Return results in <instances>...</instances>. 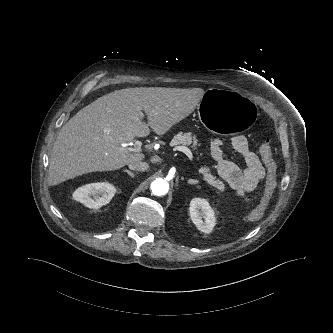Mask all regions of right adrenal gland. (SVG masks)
Masks as SVG:
<instances>
[{
    "label": "right adrenal gland",
    "mask_w": 333,
    "mask_h": 333,
    "mask_svg": "<svg viewBox=\"0 0 333 333\" xmlns=\"http://www.w3.org/2000/svg\"><path fill=\"white\" fill-rule=\"evenodd\" d=\"M124 172H126L128 175H130L131 177H134L135 175H134V173H132L131 171H129V170H127V169H125V170H123Z\"/></svg>",
    "instance_id": "2a0ac1e0"
}]
</instances>
